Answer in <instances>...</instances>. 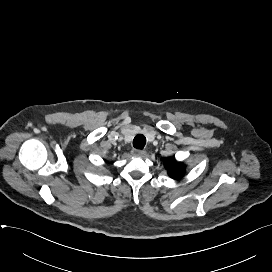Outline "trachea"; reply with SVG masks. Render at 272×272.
I'll list each match as a JSON object with an SVG mask.
<instances>
[{
    "label": "trachea",
    "mask_w": 272,
    "mask_h": 272,
    "mask_svg": "<svg viewBox=\"0 0 272 272\" xmlns=\"http://www.w3.org/2000/svg\"><path fill=\"white\" fill-rule=\"evenodd\" d=\"M145 144H146V138L144 135L138 134L135 136V138L133 140V146L136 149H143Z\"/></svg>",
    "instance_id": "3493384b"
}]
</instances>
